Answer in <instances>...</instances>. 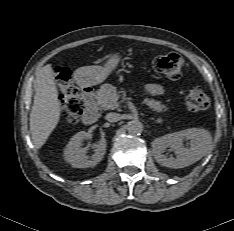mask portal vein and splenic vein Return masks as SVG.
Segmentation results:
<instances>
[{
  "label": "portal vein and splenic vein",
  "instance_id": "portal-vein-and-splenic-vein-1",
  "mask_svg": "<svg viewBox=\"0 0 234 231\" xmlns=\"http://www.w3.org/2000/svg\"><path fill=\"white\" fill-rule=\"evenodd\" d=\"M114 98H115V100H118L119 97H118V96H115Z\"/></svg>",
  "mask_w": 234,
  "mask_h": 231
}]
</instances>
